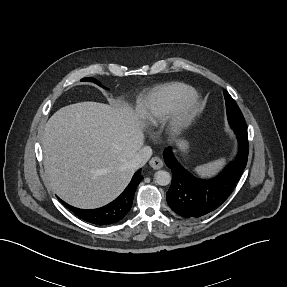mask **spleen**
Here are the masks:
<instances>
[{
  "label": "spleen",
  "instance_id": "spleen-1",
  "mask_svg": "<svg viewBox=\"0 0 287 287\" xmlns=\"http://www.w3.org/2000/svg\"><path fill=\"white\" fill-rule=\"evenodd\" d=\"M226 160L224 158L203 164L195 168V171L201 176L215 175L224 165Z\"/></svg>",
  "mask_w": 287,
  "mask_h": 287
}]
</instances>
